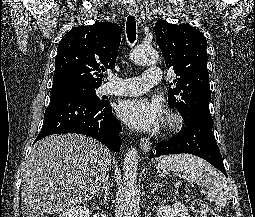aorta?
<instances>
[{"label":"aorta","mask_w":255,"mask_h":217,"mask_svg":"<svg viewBox=\"0 0 255 217\" xmlns=\"http://www.w3.org/2000/svg\"><path fill=\"white\" fill-rule=\"evenodd\" d=\"M158 53L152 48L136 47L130 53V59L140 65L157 62ZM138 152L131 147L123 161V209L124 217H139L140 198L137 186Z\"/></svg>","instance_id":"obj_1"}]
</instances>
